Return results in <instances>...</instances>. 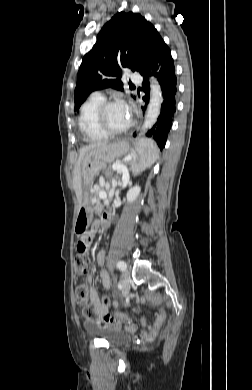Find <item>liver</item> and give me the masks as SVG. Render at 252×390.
Wrapping results in <instances>:
<instances>
[{
	"label": "liver",
	"instance_id": "6515ba94",
	"mask_svg": "<svg viewBox=\"0 0 252 390\" xmlns=\"http://www.w3.org/2000/svg\"><path fill=\"white\" fill-rule=\"evenodd\" d=\"M106 142H97L90 144L88 146L83 147L80 150L79 158L76 163L75 169H74V176H73V186L75 193L78 197L79 200H81V194H82V174H81V163L86 155L87 152L97 149V148H102L105 146H108Z\"/></svg>",
	"mask_w": 252,
	"mask_h": 390
}]
</instances>
